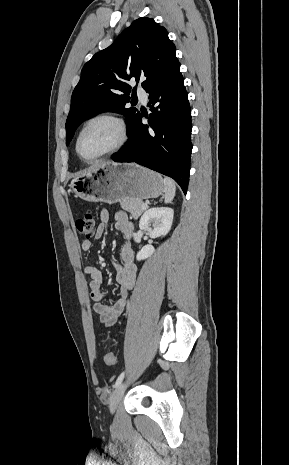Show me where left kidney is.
<instances>
[{
  "label": "left kidney",
  "instance_id": "obj_1",
  "mask_svg": "<svg viewBox=\"0 0 289 465\" xmlns=\"http://www.w3.org/2000/svg\"><path fill=\"white\" fill-rule=\"evenodd\" d=\"M174 210L167 207L150 208L144 212L139 221V228L148 233L151 238L165 236L171 229ZM152 245H145L137 253L138 261L147 259L154 253Z\"/></svg>",
  "mask_w": 289,
  "mask_h": 465
}]
</instances>
